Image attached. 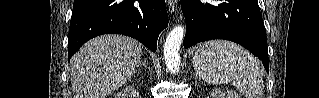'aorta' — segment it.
Masks as SVG:
<instances>
[{
  "instance_id": "aorta-1",
  "label": "aorta",
  "mask_w": 319,
  "mask_h": 98,
  "mask_svg": "<svg viewBox=\"0 0 319 98\" xmlns=\"http://www.w3.org/2000/svg\"><path fill=\"white\" fill-rule=\"evenodd\" d=\"M185 28L183 26H175L168 34L164 44V59L167 68L172 73H176L180 69L179 49L183 41Z\"/></svg>"
}]
</instances>
